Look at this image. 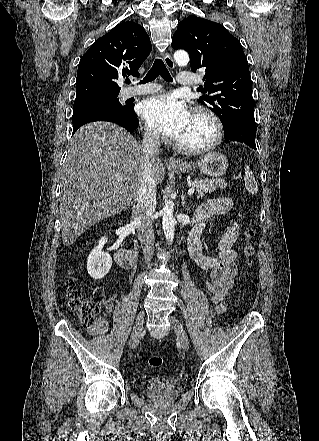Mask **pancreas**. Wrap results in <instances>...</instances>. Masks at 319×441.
Returning a JSON list of instances; mask_svg holds the SVG:
<instances>
[{"label":"pancreas","mask_w":319,"mask_h":441,"mask_svg":"<svg viewBox=\"0 0 319 441\" xmlns=\"http://www.w3.org/2000/svg\"><path fill=\"white\" fill-rule=\"evenodd\" d=\"M192 186L196 188L198 197H203L207 193L214 192L218 187L221 189H225L227 183H225L221 179L196 178L192 182Z\"/></svg>","instance_id":"pancreas-1"}]
</instances>
